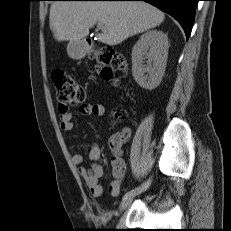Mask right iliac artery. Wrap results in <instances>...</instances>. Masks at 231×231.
Returning a JSON list of instances; mask_svg holds the SVG:
<instances>
[{
    "mask_svg": "<svg viewBox=\"0 0 231 231\" xmlns=\"http://www.w3.org/2000/svg\"><path fill=\"white\" fill-rule=\"evenodd\" d=\"M137 189H138V187L135 188V189H132V190L128 191V192L124 195V198L127 197V196H129V195L134 194V193L137 191Z\"/></svg>",
    "mask_w": 231,
    "mask_h": 231,
    "instance_id": "right-iliac-artery-1",
    "label": "right iliac artery"
}]
</instances>
